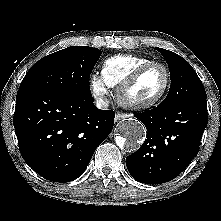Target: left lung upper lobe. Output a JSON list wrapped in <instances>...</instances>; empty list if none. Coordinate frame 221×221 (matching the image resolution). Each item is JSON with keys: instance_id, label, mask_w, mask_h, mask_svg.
<instances>
[{"instance_id": "5c2ea615", "label": "left lung upper lobe", "mask_w": 221, "mask_h": 221, "mask_svg": "<svg viewBox=\"0 0 221 221\" xmlns=\"http://www.w3.org/2000/svg\"><path fill=\"white\" fill-rule=\"evenodd\" d=\"M165 58L171 76V86L162 104L174 105L192 98H206V91L192 66L178 54L156 48Z\"/></svg>"}]
</instances>
